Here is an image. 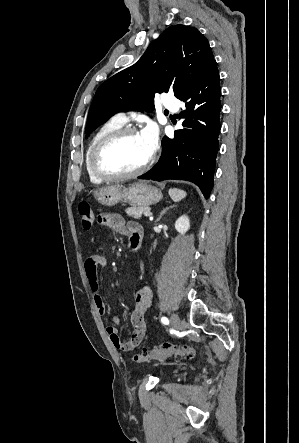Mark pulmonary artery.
Masks as SVG:
<instances>
[{
  "label": "pulmonary artery",
  "instance_id": "1",
  "mask_svg": "<svg viewBox=\"0 0 299 443\" xmlns=\"http://www.w3.org/2000/svg\"><path fill=\"white\" fill-rule=\"evenodd\" d=\"M162 105L171 110V111H177L178 109V101L177 99L171 95V94H164L162 97ZM116 121H118L121 124H125L128 121V117L125 113H118L113 117Z\"/></svg>",
  "mask_w": 299,
  "mask_h": 443
}]
</instances>
